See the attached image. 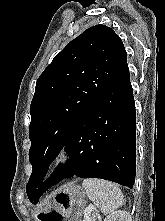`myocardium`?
<instances>
[{
  "label": "myocardium",
  "instance_id": "f54148a6",
  "mask_svg": "<svg viewBox=\"0 0 165 221\" xmlns=\"http://www.w3.org/2000/svg\"><path fill=\"white\" fill-rule=\"evenodd\" d=\"M72 151L69 146L58 147L52 154V164L57 168H64L69 163Z\"/></svg>",
  "mask_w": 165,
  "mask_h": 221
}]
</instances>
